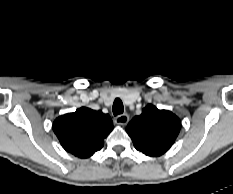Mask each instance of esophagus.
Returning a JSON list of instances; mask_svg holds the SVG:
<instances>
[{
    "instance_id": "1",
    "label": "esophagus",
    "mask_w": 233,
    "mask_h": 194,
    "mask_svg": "<svg viewBox=\"0 0 233 194\" xmlns=\"http://www.w3.org/2000/svg\"><path fill=\"white\" fill-rule=\"evenodd\" d=\"M115 122L118 124V125H126L128 122H129V116L127 114H121V115H118L116 118H115Z\"/></svg>"
}]
</instances>
